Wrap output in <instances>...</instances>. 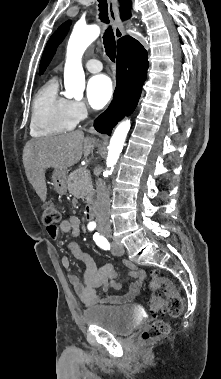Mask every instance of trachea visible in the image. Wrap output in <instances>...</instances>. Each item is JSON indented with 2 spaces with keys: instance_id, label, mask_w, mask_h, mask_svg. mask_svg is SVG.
<instances>
[{
  "instance_id": "1",
  "label": "trachea",
  "mask_w": 221,
  "mask_h": 379,
  "mask_svg": "<svg viewBox=\"0 0 221 379\" xmlns=\"http://www.w3.org/2000/svg\"><path fill=\"white\" fill-rule=\"evenodd\" d=\"M99 2V18L104 23H109L108 19V4L107 0H98ZM103 44L107 56L111 61L115 60L116 57V42L115 37L111 27H108L103 35Z\"/></svg>"
}]
</instances>
